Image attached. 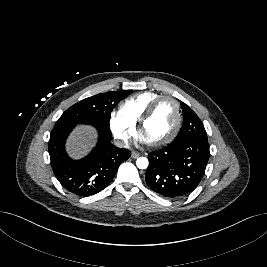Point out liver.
Returning <instances> with one entry per match:
<instances>
[{
    "instance_id": "liver-1",
    "label": "liver",
    "mask_w": 267,
    "mask_h": 267,
    "mask_svg": "<svg viewBox=\"0 0 267 267\" xmlns=\"http://www.w3.org/2000/svg\"><path fill=\"white\" fill-rule=\"evenodd\" d=\"M96 131L90 126L76 128L67 140V151L73 158H81L94 145Z\"/></svg>"
}]
</instances>
